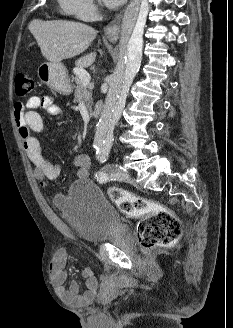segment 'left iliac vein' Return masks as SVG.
I'll return each mask as SVG.
<instances>
[{
	"mask_svg": "<svg viewBox=\"0 0 233 328\" xmlns=\"http://www.w3.org/2000/svg\"><path fill=\"white\" fill-rule=\"evenodd\" d=\"M115 176L119 181L127 182V183H130V184H133V185L136 184L135 179L132 178L128 173H126L123 170H118L115 173Z\"/></svg>",
	"mask_w": 233,
	"mask_h": 328,
	"instance_id": "1",
	"label": "left iliac vein"
}]
</instances>
